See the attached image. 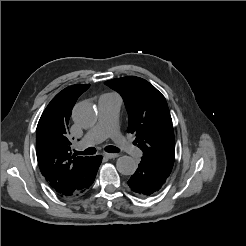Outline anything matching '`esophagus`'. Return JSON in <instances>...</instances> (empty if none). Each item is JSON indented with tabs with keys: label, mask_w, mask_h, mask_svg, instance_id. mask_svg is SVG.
<instances>
[{
	"label": "esophagus",
	"mask_w": 246,
	"mask_h": 246,
	"mask_svg": "<svg viewBox=\"0 0 246 246\" xmlns=\"http://www.w3.org/2000/svg\"><path fill=\"white\" fill-rule=\"evenodd\" d=\"M103 156L108 158V159H114V158H117L119 155L114 154V153H104Z\"/></svg>",
	"instance_id": "34e87169"
}]
</instances>
